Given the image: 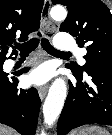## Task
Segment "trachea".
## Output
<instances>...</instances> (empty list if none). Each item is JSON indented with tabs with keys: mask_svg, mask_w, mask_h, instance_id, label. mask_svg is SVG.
<instances>
[{
	"mask_svg": "<svg viewBox=\"0 0 112 135\" xmlns=\"http://www.w3.org/2000/svg\"><path fill=\"white\" fill-rule=\"evenodd\" d=\"M39 39L33 38L23 44H16L15 49H18L20 51V55H27L35 50V48L38 46ZM41 45L42 47L49 53V54H59V55H68L69 53L59 51L55 49L47 39L43 38L41 39Z\"/></svg>",
	"mask_w": 112,
	"mask_h": 135,
	"instance_id": "obj_1",
	"label": "trachea"
}]
</instances>
